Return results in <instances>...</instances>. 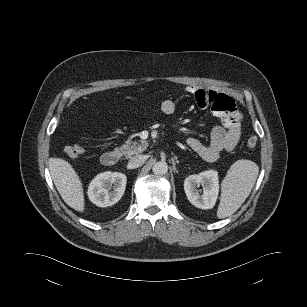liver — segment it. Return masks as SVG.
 <instances>
[{
  "label": "liver",
  "instance_id": "6515ba94",
  "mask_svg": "<svg viewBox=\"0 0 307 307\" xmlns=\"http://www.w3.org/2000/svg\"><path fill=\"white\" fill-rule=\"evenodd\" d=\"M52 180L64 202L78 212L85 209L81 180L70 163L61 158L49 159Z\"/></svg>",
  "mask_w": 307,
  "mask_h": 307
}]
</instances>
